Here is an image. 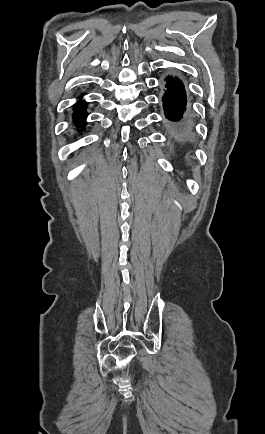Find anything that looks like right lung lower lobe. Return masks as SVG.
I'll list each match as a JSON object with an SVG mask.
<instances>
[{
  "label": "right lung lower lobe",
  "mask_w": 265,
  "mask_h": 434,
  "mask_svg": "<svg viewBox=\"0 0 265 434\" xmlns=\"http://www.w3.org/2000/svg\"><path fill=\"white\" fill-rule=\"evenodd\" d=\"M87 103L83 102L80 98V100L74 105V113H73V119L75 121V125L80 127L82 130H84V126L86 125V117H87V111H86Z\"/></svg>",
  "instance_id": "obj_1"
}]
</instances>
